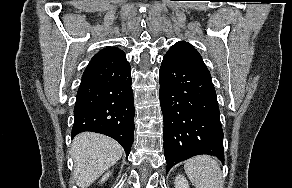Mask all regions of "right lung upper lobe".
<instances>
[{"mask_svg":"<svg viewBox=\"0 0 292 188\" xmlns=\"http://www.w3.org/2000/svg\"><path fill=\"white\" fill-rule=\"evenodd\" d=\"M121 53H123V51L116 48V47H106V48L102 49L101 51H99L93 57V59L108 58V57H112V56H115V55H118Z\"/></svg>","mask_w":292,"mask_h":188,"instance_id":"1","label":"right lung upper lobe"}]
</instances>
